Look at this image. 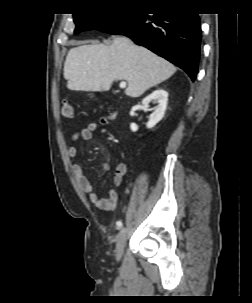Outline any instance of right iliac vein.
Wrapping results in <instances>:
<instances>
[{
	"instance_id": "obj_1",
	"label": "right iliac vein",
	"mask_w": 252,
	"mask_h": 303,
	"mask_svg": "<svg viewBox=\"0 0 252 303\" xmlns=\"http://www.w3.org/2000/svg\"><path fill=\"white\" fill-rule=\"evenodd\" d=\"M126 239H127V229L122 228L118 234L116 248H115V256L117 260H120L123 255Z\"/></svg>"
}]
</instances>
